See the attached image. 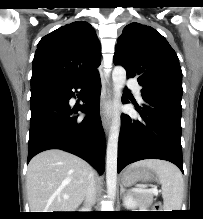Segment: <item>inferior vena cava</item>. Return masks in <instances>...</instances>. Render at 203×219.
<instances>
[{"label": "inferior vena cava", "instance_id": "602c4592", "mask_svg": "<svg viewBox=\"0 0 203 219\" xmlns=\"http://www.w3.org/2000/svg\"><path fill=\"white\" fill-rule=\"evenodd\" d=\"M95 196H96V184H95L94 175H92L85 195V203L87 207L90 208V206L95 203Z\"/></svg>", "mask_w": 203, "mask_h": 219}]
</instances>
